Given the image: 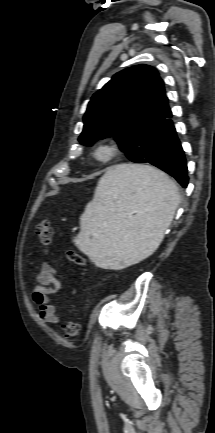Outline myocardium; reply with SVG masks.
Returning <instances> with one entry per match:
<instances>
[{
	"label": "myocardium",
	"mask_w": 215,
	"mask_h": 433,
	"mask_svg": "<svg viewBox=\"0 0 215 433\" xmlns=\"http://www.w3.org/2000/svg\"><path fill=\"white\" fill-rule=\"evenodd\" d=\"M121 153L119 143L114 139H104L97 142L91 150V158L98 164H108Z\"/></svg>",
	"instance_id": "obj_1"
}]
</instances>
